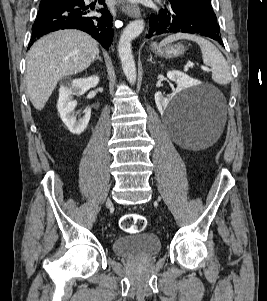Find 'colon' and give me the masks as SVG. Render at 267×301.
<instances>
[{"label": "colon", "mask_w": 267, "mask_h": 301, "mask_svg": "<svg viewBox=\"0 0 267 301\" xmlns=\"http://www.w3.org/2000/svg\"><path fill=\"white\" fill-rule=\"evenodd\" d=\"M146 225V218L137 213L125 214L120 219L121 229L128 233H139L145 229Z\"/></svg>", "instance_id": "5ec220e1"}]
</instances>
